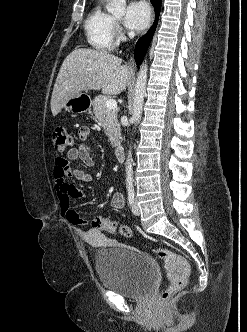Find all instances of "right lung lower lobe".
<instances>
[{"instance_id": "98d812e1", "label": "right lung lower lobe", "mask_w": 247, "mask_h": 332, "mask_svg": "<svg viewBox=\"0 0 247 332\" xmlns=\"http://www.w3.org/2000/svg\"><path fill=\"white\" fill-rule=\"evenodd\" d=\"M151 3L155 8L156 19H155L154 25L148 31V33L146 35H144L142 38H140L137 42L134 57H135V60H136V64H138V65L142 63V60H143V58H144V56L147 52L150 41L153 37L154 31H155L156 26H157L159 12H160V9H161V0H151Z\"/></svg>"}]
</instances>
